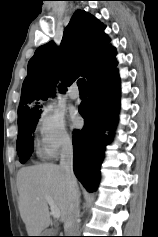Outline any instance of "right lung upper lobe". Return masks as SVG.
I'll return each mask as SVG.
<instances>
[{
  "instance_id": "right-lung-upper-lobe-1",
  "label": "right lung upper lobe",
  "mask_w": 158,
  "mask_h": 237,
  "mask_svg": "<svg viewBox=\"0 0 158 237\" xmlns=\"http://www.w3.org/2000/svg\"><path fill=\"white\" fill-rule=\"evenodd\" d=\"M103 29L94 16L77 10L63 33L59 49L48 42L36 50L22 85L18 119L39 114L40 106H29L54 94L58 76L67 86L79 76L89 83L116 66L115 49L109 45Z\"/></svg>"
}]
</instances>
